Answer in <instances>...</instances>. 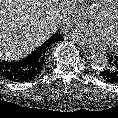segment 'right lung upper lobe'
I'll return each instance as SVG.
<instances>
[{
  "label": "right lung upper lobe",
  "instance_id": "obj_1",
  "mask_svg": "<svg viewBox=\"0 0 118 118\" xmlns=\"http://www.w3.org/2000/svg\"><path fill=\"white\" fill-rule=\"evenodd\" d=\"M57 41L56 35H53L48 41L44 42L41 46H39L32 55L37 57L38 60H40V66H43L45 62L46 53L49 49V47Z\"/></svg>",
  "mask_w": 118,
  "mask_h": 118
}]
</instances>
